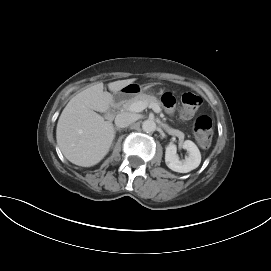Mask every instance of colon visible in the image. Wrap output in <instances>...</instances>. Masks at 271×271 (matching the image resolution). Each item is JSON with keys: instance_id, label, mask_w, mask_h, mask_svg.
<instances>
[{"instance_id": "1", "label": "colon", "mask_w": 271, "mask_h": 271, "mask_svg": "<svg viewBox=\"0 0 271 271\" xmlns=\"http://www.w3.org/2000/svg\"><path fill=\"white\" fill-rule=\"evenodd\" d=\"M164 103L166 105L172 104V98L169 94L164 96ZM202 98L194 93H185L181 99L180 116L183 119L192 117L200 108ZM194 133L198 144L207 148L211 144L213 136V125L211 119L206 115H201L196 118L194 122Z\"/></svg>"}]
</instances>
